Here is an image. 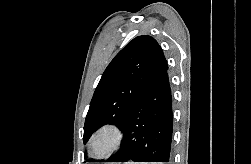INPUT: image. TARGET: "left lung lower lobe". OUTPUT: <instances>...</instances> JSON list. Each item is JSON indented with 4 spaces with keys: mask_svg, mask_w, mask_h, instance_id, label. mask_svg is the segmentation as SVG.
I'll return each mask as SVG.
<instances>
[{
    "mask_svg": "<svg viewBox=\"0 0 251 164\" xmlns=\"http://www.w3.org/2000/svg\"><path fill=\"white\" fill-rule=\"evenodd\" d=\"M167 69L133 104L122 129L121 148L106 162L170 161L173 115Z\"/></svg>",
    "mask_w": 251,
    "mask_h": 164,
    "instance_id": "1",
    "label": "left lung lower lobe"
}]
</instances>
